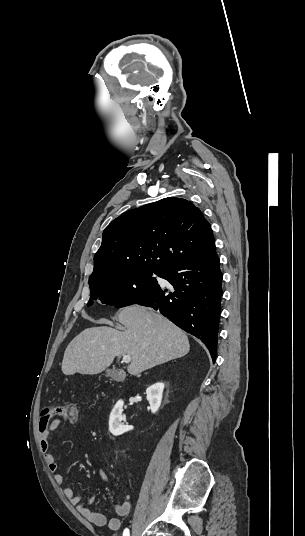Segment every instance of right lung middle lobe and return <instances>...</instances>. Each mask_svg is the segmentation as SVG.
Instances as JSON below:
<instances>
[{
  "instance_id": "right-lung-middle-lobe-1",
  "label": "right lung middle lobe",
  "mask_w": 305,
  "mask_h": 536,
  "mask_svg": "<svg viewBox=\"0 0 305 536\" xmlns=\"http://www.w3.org/2000/svg\"><path fill=\"white\" fill-rule=\"evenodd\" d=\"M163 273L159 270H138L110 279L89 282L91 298L87 305L91 306L93 301H101L115 307L135 304L158 286L153 274L162 277Z\"/></svg>"
}]
</instances>
